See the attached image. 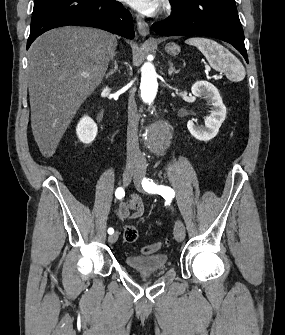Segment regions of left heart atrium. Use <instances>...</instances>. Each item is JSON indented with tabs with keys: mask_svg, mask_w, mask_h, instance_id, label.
<instances>
[{
	"mask_svg": "<svg viewBox=\"0 0 285 335\" xmlns=\"http://www.w3.org/2000/svg\"><path fill=\"white\" fill-rule=\"evenodd\" d=\"M132 8L145 12L153 13L156 10V1H123Z\"/></svg>",
	"mask_w": 285,
	"mask_h": 335,
	"instance_id": "obj_1",
	"label": "left heart atrium"
}]
</instances>
